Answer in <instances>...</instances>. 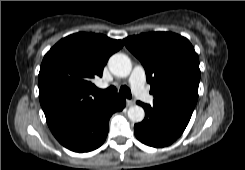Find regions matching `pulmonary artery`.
Returning a JSON list of instances; mask_svg holds the SVG:
<instances>
[{"label": "pulmonary artery", "mask_w": 245, "mask_h": 170, "mask_svg": "<svg viewBox=\"0 0 245 170\" xmlns=\"http://www.w3.org/2000/svg\"><path fill=\"white\" fill-rule=\"evenodd\" d=\"M145 81V69L140 65H136L129 77V83L131 85V88L134 94L137 95L140 99L149 103H153L154 98L147 95Z\"/></svg>", "instance_id": "1"}]
</instances>
